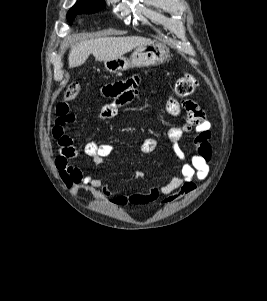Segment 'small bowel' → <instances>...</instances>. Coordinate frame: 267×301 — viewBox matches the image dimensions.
<instances>
[{
	"mask_svg": "<svg viewBox=\"0 0 267 301\" xmlns=\"http://www.w3.org/2000/svg\"><path fill=\"white\" fill-rule=\"evenodd\" d=\"M140 80L133 76L126 80L116 81L101 88L102 97L109 100L101 108L99 117L101 119H111L117 116L118 110L130 104L138 96ZM166 110L173 116H184V122L180 126L171 127L167 132V145L175 155L185 160L186 156L182 151L179 142L181 138L190 133L196 132L195 143L196 152L190 159L182 165L180 171L172 179L160 188H151L144 192L132 194H122L114 192L103 184L100 178L93 174L84 175L74 163L71 162L80 152L92 159L93 165L99 167L103 160L113 151V145L96 142H88L83 148L78 149L72 137L66 129L75 120L67 102H59L56 106L57 119L52 130L53 137L57 140L59 154L56 158V166L60 177L66 187L72 193L77 194L79 190L91 192L97 198L109 197L110 201L116 205H142L154 201L160 195H164L162 205H168L178 197L193 192L196 188V180H204L209 173V162L212 156L210 145L211 123L205 117L202 109L193 101H184L180 104L174 98H166ZM157 147L154 138L145 139L140 151L144 154L153 152ZM143 173L138 172L136 179L142 178Z\"/></svg>",
	"mask_w": 267,
	"mask_h": 301,
	"instance_id": "obj_1",
	"label": "small bowel"
}]
</instances>
